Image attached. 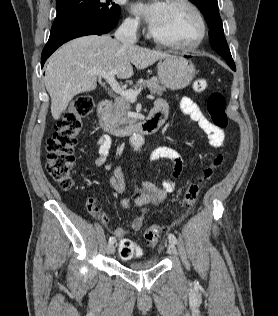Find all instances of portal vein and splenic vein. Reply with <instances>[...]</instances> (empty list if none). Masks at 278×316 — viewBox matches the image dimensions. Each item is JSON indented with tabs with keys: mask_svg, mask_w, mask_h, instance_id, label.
Wrapping results in <instances>:
<instances>
[{
	"mask_svg": "<svg viewBox=\"0 0 278 316\" xmlns=\"http://www.w3.org/2000/svg\"><path fill=\"white\" fill-rule=\"evenodd\" d=\"M90 73L103 77L106 80V82L110 85V87L112 88V90L115 93L125 97L126 99H128L131 102L136 101L138 94L143 89V88H139V89H136V90L123 89L119 85L117 80L115 79V75L117 74V70L116 69H113V70H110V71L94 70V71H91Z\"/></svg>",
	"mask_w": 278,
	"mask_h": 316,
	"instance_id": "obj_1",
	"label": "portal vein and splenic vein"
}]
</instances>
